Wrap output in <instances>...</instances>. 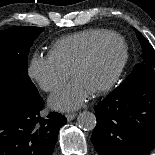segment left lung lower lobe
I'll return each instance as SVG.
<instances>
[{"label": "left lung lower lobe", "mask_w": 155, "mask_h": 155, "mask_svg": "<svg viewBox=\"0 0 155 155\" xmlns=\"http://www.w3.org/2000/svg\"><path fill=\"white\" fill-rule=\"evenodd\" d=\"M100 155H148L155 147V71L122 83L95 106Z\"/></svg>", "instance_id": "1"}]
</instances>
